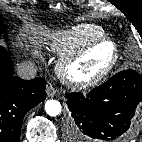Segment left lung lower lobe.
<instances>
[{
	"label": "left lung lower lobe",
	"mask_w": 142,
	"mask_h": 142,
	"mask_svg": "<svg viewBox=\"0 0 142 142\" xmlns=\"http://www.w3.org/2000/svg\"><path fill=\"white\" fill-rule=\"evenodd\" d=\"M72 116L71 142H124L142 101V77L124 70L90 91L66 95Z\"/></svg>",
	"instance_id": "1"
}]
</instances>
